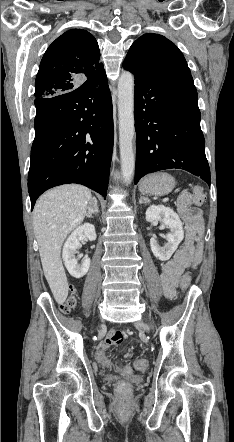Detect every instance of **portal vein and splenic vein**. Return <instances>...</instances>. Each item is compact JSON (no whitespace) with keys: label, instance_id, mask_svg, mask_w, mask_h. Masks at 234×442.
<instances>
[{"label":"portal vein and splenic vein","instance_id":"portal-vein-and-splenic-vein-1","mask_svg":"<svg viewBox=\"0 0 234 442\" xmlns=\"http://www.w3.org/2000/svg\"><path fill=\"white\" fill-rule=\"evenodd\" d=\"M169 199L168 198H165V199H163V202H167Z\"/></svg>","mask_w":234,"mask_h":442}]
</instances>
